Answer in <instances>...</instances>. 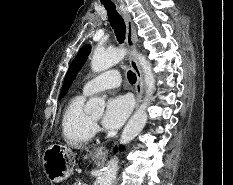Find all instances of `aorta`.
Segmentation results:
<instances>
[{
  "mask_svg": "<svg viewBox=\"0 0 233 185\" xmlns=\"http://www.w3.org/2000/svg\"><path fill=\"white\" fill-rule=\"evenodd\" d=\"M126 54L127 50L125 48H113L107 51L95 50L91 59V68L94 72H102L119 63ZM136 58L143 70L146 96L143 103L126 124L120 138V144H127L132 141L145 127L148 119L146 108L155 90V79L150 62L142 54H136ZM104 108L105 101L101 98L93 97L88 100L84 110L87 114H100L104 111ZM117 171L118 158L114 157L108 162L102 173L99 185H113Z\"/></svg>",
  "mask_w": 233,
  "mask_h": 185,
  "instance_id": "aorta-1",
  "label": "aorta"
}]
</instances>
